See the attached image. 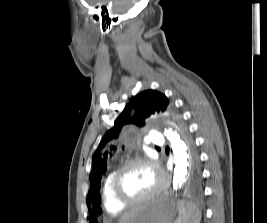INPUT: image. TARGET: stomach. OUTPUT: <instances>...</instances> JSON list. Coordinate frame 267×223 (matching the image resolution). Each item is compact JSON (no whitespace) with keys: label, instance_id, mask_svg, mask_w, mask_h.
<instances>
[{"label":"stomach","instance_id":"0dacf381","mask_svg":"<svg viewBox=\"0 0 267 223\" xmlns=\"http://www.w3.org/2000/svg\"><path fill=\"white\" fill-rule=\"evenodd\" d=\"M177 205L168 195L157 196L135 208L125 223H175Z\"/></svg>","mask_w":267,"mask_h":223}]
</instances>
